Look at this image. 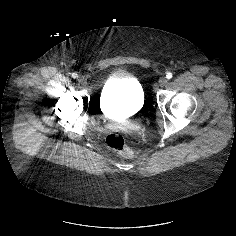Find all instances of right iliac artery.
<instances>
[{"label":"right iliac artery","mask_w":236,"mask_h":236,"mask_svg":"<svg viewBox=\"0 0 236 236\" xmlns=\"http://www.w3.org/2000/svg\"><path fill=\"white\" fill-rule=\"evenodd\" d=\"M72 77L75 79L78 77L77 73H72Z\"/></svg>","instance_id":"82829eb1"}]
</instances>
